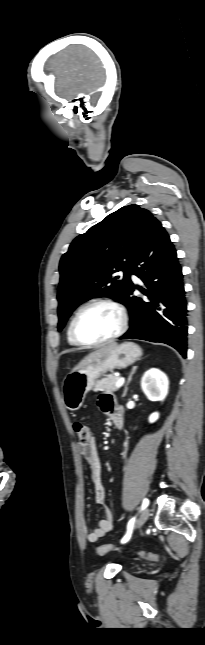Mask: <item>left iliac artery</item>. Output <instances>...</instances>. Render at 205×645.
Instances as JSON below:
<instances>
[{
	"label": "left iliac artery",
	"mask_w": 205,
	"mask_h": 645,
	"mask_svg": "<svg viewBox=\"0 0 205 645\" xmlns=\"http://www.w3.org/2000/svg\"><path fill=\"white\" fill-rule=\"evenodd\" d=\"M148 505H149V500L147 498H145L143 500L141 509L144 510ZM134 522H135V517L130 519V521L128 522L127 532H126L125 536L122 538L121 543H126L127 541H129V539L131 537V534H132V529H133Z\"/></svg>",
	"instance_id": "left-iliac-artery-1"
}]
</instances>
